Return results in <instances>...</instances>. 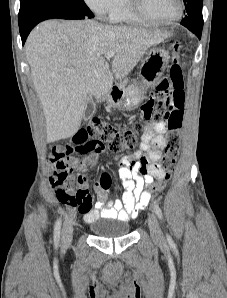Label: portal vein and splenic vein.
<instances>
[{
  "mask_svg": "<svg viewBox=\"0 0 227 298\" xmlns=\"http://www.w3.org/2000/svg\"><path fill=\"white\" fill-rule=\"evenodd\" d=\"M114 55H115V52L114 51H109V52L105 53L104 58L107 61H109L110 59H112L114 57Z\"/></svg>",
  "mask_w": 227,
  "mask_h": 298,
  "instance_id": "18ae733b",
  "label": "portal vein and splenic vein"
}]
</instances>
